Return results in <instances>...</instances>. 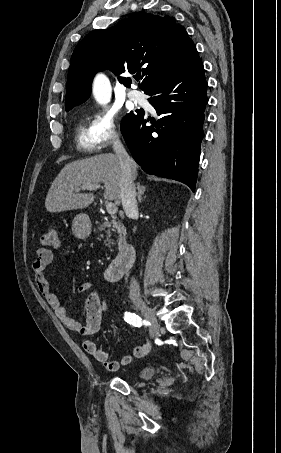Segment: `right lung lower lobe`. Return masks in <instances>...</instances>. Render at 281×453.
<instances>
[{
  "label": "right lung lower lobe",
  "instance_id": "obj_1",
  "mask_svg": "<svg viewBox=\"0 0 281 453\" xmlns=\"http://www.w3.org/2000/svg\"><path fill=\"white\" fill-rule=\"evenodd\" d=\"M207 81L198 53L144 93L162 118L146 126L143 109L130 112L121 132L134 158L149 174L171 178L195 190L200 158L202 125L207 104Z\"/></svg>",
  "mask_w": 281,
  "mask_h": 453
}]
</instances>
